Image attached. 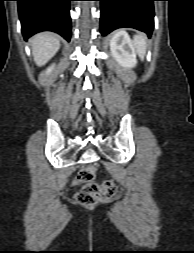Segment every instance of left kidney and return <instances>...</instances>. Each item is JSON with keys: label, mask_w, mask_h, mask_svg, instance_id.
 Wrapping results in <instances>:
<instances>
[{"label": "left kidney", "mask_w": 194, "mask_h": 253, "mask_svg": "<svg viewBox=\"0 0 194 253\" xmlns=\"http://www.w3.org/2000/svg\"><path fill=\"white\" fill-rule=\"evenodd\" d=\"M110 49L113 58L125 68H133L137 64L133 44L124 31L116 32L111 38Z\"/></svg>", "instance_id": "left-kidney-1"}]
</instances>
